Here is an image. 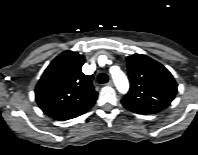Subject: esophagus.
I'll list each match as a JSON object with an SVG mask.
<instances>
[{
	"mask_svg": "<svg viewBox=\"0 0 198 155\" xmlns=\"http://www.w3.org/2000/svg\"><path fill=\"white\" fill-rule=\"evenodd\" d=\"M108 86H113L114 85V82L112 80H110L108 83H107Z\"/></svg>",
	"mask_w": 198,
	"mask_h": 155,
	"instance_id": "34e87169",
	"label": "esophagus"
}]
</instances>
